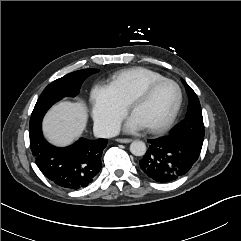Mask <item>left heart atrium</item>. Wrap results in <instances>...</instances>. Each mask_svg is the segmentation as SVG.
Here are the masks:
<instances>
[{
    "mask_svg": "<svg viewBox=\"0 0 241 241\" xmlns=\"http://www.w3.org/2000/svg\"><path fill=\"white\" fill-rule=\"evenodd\" d=\"M145 128L144 124L141 123L136 117H134L133 115L130 117L126 129L128 131H134V130H140Z\"/></svg>",
    "mask_w": 241,
    "mask_h": 241,
    "instance_id": "obj_1",
    "label": "left heart atrium"
}]
</instances>
